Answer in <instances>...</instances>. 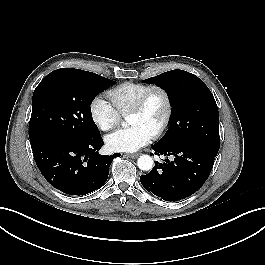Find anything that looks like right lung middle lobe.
Listing matches in <instances>:
<instances>
[{"label": "right lung middle lobe", "mask_w": 265, "mask_h": 265, "mask_svg": "<svg viewBox=\"0 0 265 265\" xmlns=\"http://www.w3.org/2000/svg\"><path fill=\"white\" fill-rule=\"evenodd\" d=\"M115 83L95 73L73 68L48 74L33 93L29 124L31 146L99 136L90 105L98 93Z\"/></svg>", "instance_id": "1"}]
</instances>
